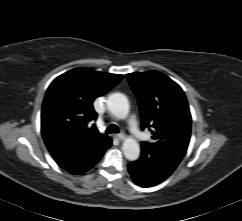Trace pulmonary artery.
Segmentation results:
<instances>
[{
    "label": "pulmonary artery",
    "instance_id": "1",
    "mask_svg": "<svg viewBox=\"0 0 242 221\" xmlns=\"http://www.w3.org/2000/svg\"><path fill=\"white\" fill-rule=\"evenodd\" d=\"M128 127L129 130L131 132V134L133 135V137L138 140V141H142L145 139V134L144 132L139 128L137 121L135 119V117H130L128 119Z\"/></svg>",
    "mask_w": 242,
    "mask_h": 221
}]
</instances>
